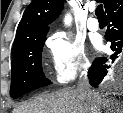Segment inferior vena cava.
<instances>
[{"instance_id": "1", "label": "inferior vena cava", "mask_w": 123, "mask_h": 113, "mask_svg": "<svg viewBox=\"0 0 123 113\" xmlns=\"http://www.w3.org/2000/svg\"><path fill=\"white\" fill-rule=\"evenodd\" d=\"M77 91L89 102L90 113H100V110L93 103V91L91 90L86 72L80 77Z\"/></svg>"}]
</instances>
